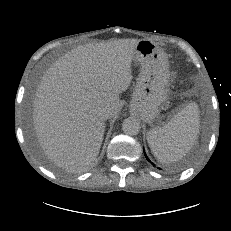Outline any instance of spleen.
I'll list each match as a JSON object with an SVG mask.
<instances>
[{
    "label": "spleen",
    "mask_w": 231,
    "mask_h": 231,
    "mask_svg": "<svg viewBox=\"0 0 231 231\" xmlns=\"http://www.w3.org/2000/svg\"><path fill=\"white\" fill-rule=\"evenodd\" d=\"M199 124L198 106L189 103L167 124L147 133L153 155L162 163H172L183 158L197 140Z\"/></svg>",
    "instance_id": "3e777b00"
}]
</instances>
